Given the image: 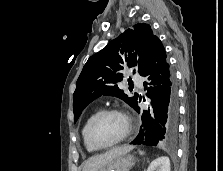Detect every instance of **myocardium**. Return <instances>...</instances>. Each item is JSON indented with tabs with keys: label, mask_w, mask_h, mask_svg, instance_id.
<instances>
[{
	"label": "myocardium",
	"mask_w": 223,
	"mask_h": 171,
	"mask_svg": "<svg viewBox=\"0 0 223 171\" xmlns=\"http://www.w3.org/2000/svg\"><path fill=\"white\" fill-rule=\"evenodd\" d=\"M109 114H116L121 116L126 123V131L125 133L115 142L111 143V144H106V145H102L97 143L92 135V131H93V127L95 125V123L103 116L105 115H109ZM132 128H133V124H132V119L131 117L123 110L118 109V108H107V109H103L99 112H97L89 121L88 126H87V130H86V135H87V139L89 141V143L91 144V146H93L95 149L97 150H103V149H108L111 147H114L118 144H120L121 142H123L124 140H126L131 132H132Z\"/></svg>",
	"instance_id": "obj_1"
}]
</instances>
